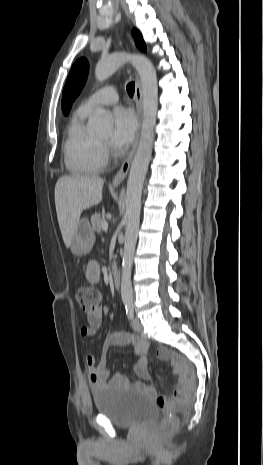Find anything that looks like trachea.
I'll use <instances>...</instances> for the list:
<instances>
[{
	"label": "trachea",
	"mask_w": 263,
	"mask_h": 465,
	"mask_svg": "<svg viewBox=\"0 0 263 465\" xmlns=\"http://www.w3.org/2000/svg\"><path fill=\"white\" fill-rule=\"evenodd\" d=\"M126 90H127V93L129 94V96L132 97L133 94H134V91H135V83L134 82L128 83L127 87H126Z\"/></svg>",
	"instance_id": "3493384b"
}]
</instances>
